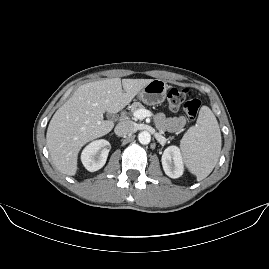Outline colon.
Segmentation results:
<instances>
[{"label":"colon","instance_id":"obj_1","mask_svg":"<svg viewBox=\"0 0 269 269\" xmlns=\"http://www.w3.org/2000/svg\"><path fill=\"white\" fill-rule=\"evenodd\" d=\"M187 90L182 88H171L167 93V106L170 111L183 110L190 119H196L201 106L198 98L187 99Z\"/></svg>","mask_w":269,"mask_h":269}]
</instances>
